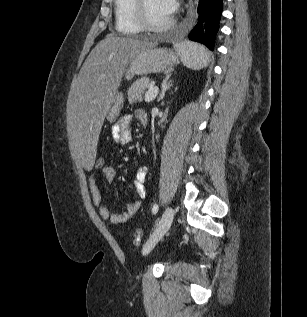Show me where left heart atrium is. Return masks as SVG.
<instances>
[{
	"label": "left heart atrium",
	"mask_w": 307,
	"mask_h": 317,
	"mask_svg": "<svg viewBox=\"0 0 307 317\" xmlns=\"http://www.w3.org/2000/svg\"><path fill=\"white\" fill-rule=\"evenodd\" d=\"M166 10L172 14L177 9V1L176 0H162Z\"/></svg>",
	"instance_id": "1"
}]
</instances>
